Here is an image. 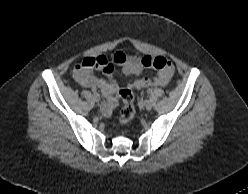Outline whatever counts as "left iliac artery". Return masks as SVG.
I'll use <instances>...</instances> for the list:
<instances>
[{
    "label": "left iliac artery",
    "instance_id": "1",
    "mask_svg": "<svg viewBox=\"0 0 248 194\" xmlns=\"http://www.w3.org/2000/svg\"><path fill=\"white\" fill-rule=\"evenodd\" d=\"M147 92L150 94L151 93V90H148Z\"/></svg>",
    "mask_w": 248,
    "mask_h": 194
}]
</instances>
